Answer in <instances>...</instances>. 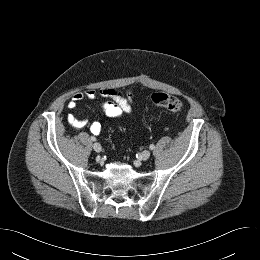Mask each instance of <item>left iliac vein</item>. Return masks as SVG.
<instances>
[{"instance_id": "left-iliac-vein-1", "label": "left iliac vein", "mask_w": 260, "mask_h": 260, "mask_svg": "<svg viewBox=\"0 0 260 260\" xmlns=\"http://www.w3.org/2000/svg\"><path fill=\"white\" fill-rule=\"evenodd\" d=\"M150 155H151L150 151L144 150V151L141 153V155H140V159H141L142 161H146V160L150 157Z\"/></svg>"}]
</instances>
